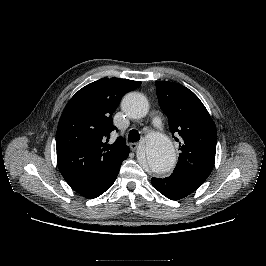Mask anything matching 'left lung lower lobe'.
I'll return each mask as SVG.
<instances>
[{"instance_id": "0a47b994", "label": "left lung lower lobe", "mask_w": 266, "mask_h": 266, "mask_svg": "<svg viewBox=\"0 0 266 266\" xmlns=\"http://www.w3.org/2000/svg\"><path fill=\"white\" fill-rule=\"evenodd\" d=\"M151 183L155 189L172 200L182 199L201 186L176 174H171L166 178L153 177Z\"/></svg>"}]
</instances>
